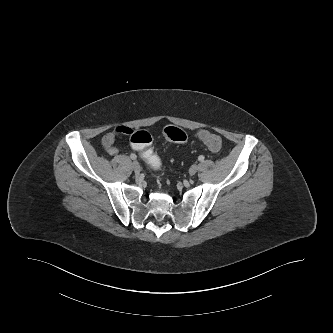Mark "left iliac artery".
Masks as SVG:
<instances>
[{
    "label": "left iliac artery",
    "mask_w": 333,
    "mask_h": 333,
    "mask_svg": "<svg viewBox=\"0 0 333 333\" xmlns=\"http://www.w3.org/2000/svg\"><path fill=\"white\" fill-rule=\"evenodd\" d=\"M198 160H199V161H203V160H204V156H203V155H200V156L198 157Z\"/></svg>",
    "instance_id": "obj_1"
}]
</instances>
